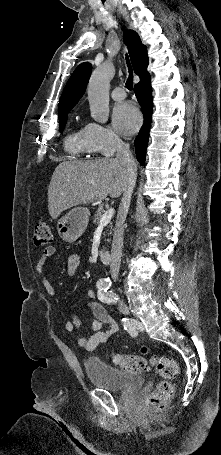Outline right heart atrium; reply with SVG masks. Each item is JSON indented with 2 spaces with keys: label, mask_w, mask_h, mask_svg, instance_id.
<instances>
[{
  "label": "right heart atrium",
  "mask_w": 221,
  "mask_h": 455,
  "mask_svg": "<svg viewBox=\"0 0 221 455\" xmlns=\"http://www.w3.org/2000/svg\"><path fill=\"white\" fill-rule=\"evenodd\" d=\"M85 132L92 153L111 155L121 144V138L109 126L91 122L85 126Z\"/></svg>",
  "instance_id": "d8ad5b80"
}]
</instances>
